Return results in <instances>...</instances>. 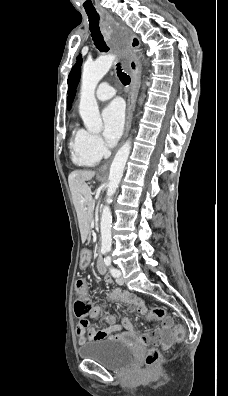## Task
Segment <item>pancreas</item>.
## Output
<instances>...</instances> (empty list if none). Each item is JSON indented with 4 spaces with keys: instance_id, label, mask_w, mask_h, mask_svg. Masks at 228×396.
Masks as SVG:
<instances>
[{
    "instance_id": "1",
    "label": "pancreas",
    "mask_w": 228,
    "mask_h": 396,
    "mask_svg": "<svg viewBox=\"0 0 228 396\" xmlns=\"http://www.w3.org/2000/svg\"><path fill=\"white\" fill-rule=\"evenodd\" d=\"M94 218H95V215H92V216H91V219H94ZM90 229H91V228H90ZM88 234H89V235H88V236H89V238H88L89 241H88V242L90 243V242H91L90 240H91L92 235H91L90 232H89Z\"/></svg>"
}]
</instances>
